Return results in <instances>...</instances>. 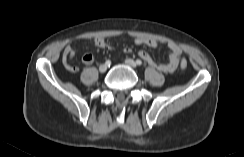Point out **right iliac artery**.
<instances>
[{
    "mask_svg": "<svg viewBox=\"0 0 244 157\" xmlns=\"http://www.w3.org/2000/svg\"><path fill=\"white\" fill-rule=\"evenodd\" d=\"M105 64H107L108 66L111 64L110 60H106Z\"/></svg>",
    "mask_w": 244,
    "mask_h": 157,
    "instance_id": "right-iliac-artery-1",
    "label": "right iliac artery"
}]
</instances>
